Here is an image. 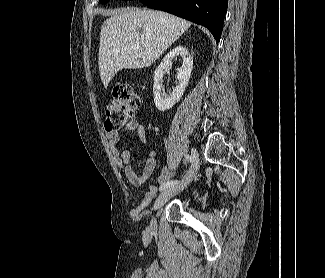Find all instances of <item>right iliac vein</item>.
Listing matches in <instances>:
<instances>
[{"mask_svg":"<svg viewBox=\"0 0 325 278\" xmlns=\"http://www.w3.org/2000/svg\"><path fill=\"white\" fill-rule=\"evenodd\" d=\"M191 153L193 157V163L190 169L188 170V172L185 174V176L179 183L166 188L158 196L153 207L154 211L160 209L171 197L175 196L176 194L181 192L184 188H186L193 180V178L196 176L199 170V156L195 149H192ZM149 229L153 232L156 231L157 229L156 220L154 218H152L150 222Z\"/></svg>","mask_w":325,"mask_h":278,"instance_id":"1","label":"right iliac vein"}]
</instances>
